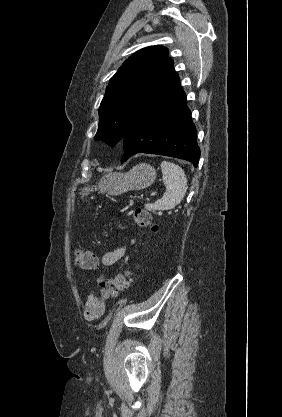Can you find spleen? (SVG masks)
<instances>
[{"label":"spleen","instance_id":"obj_1","mask_svg":"<svg viewBox=\"0 0 282 417\" xmlns=\"http://www.w3.org/2000/svg\"><path fill=\"white\" fill-rule=\"evenodd\" d=\"M160 166L166 192H164L162 198H158L155 202H148L146 206L147 209H152V211H170L184 198L188 188L187 178L183 168L175 162L163 160Z\"/></svg>","mask_w":282,"mask_h":417}]
</instances>
